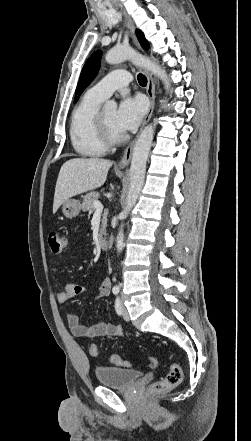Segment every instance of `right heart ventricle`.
<instances>
[{"mask_svg":"<svg viewBox=\"0 0 251 441\" xmlns=\"http://www.w3.org/2000/svg\"><path fill=\"white\" fill-rule=\"evenodd\" d=\"M105 98L88 90L75 107L70 123V139L75 151L83 157L103 155L107 146L99 137L96 119Z\"/></svg>","mask_w":251,"mask_h":441,"instance_id":"right-heart-ventricle-1","label":"right heart ventricle"}]
</instances>
